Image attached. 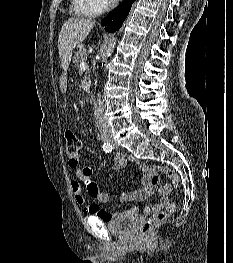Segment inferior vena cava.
<instances>
[{"instance_id":"1","label":"inferior vena cava","mask_w":233,"mask_h":263,"mask_svg":"<svg viewBox=\"0 0 233 263\" xmlns=\"http://www.w3.org/2000/svg\"><path fill=\"white\" fill-rule=\"evenodd\" d=\"M94 114L98 126L104 130H110V125L107 121V118L104 115V104L100 98L97 99V102L95 104Z\"/></svg>"}]
</instances>
